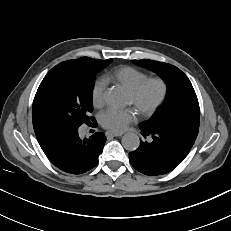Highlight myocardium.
<instances>
[{"mask_svg": "<svg viewBox=\"0 0 231 231\" xmlns=\"http://www.w3.org/2000/svg\"><path fill=\"white\" fill-rule=\"evenodd\" d=\"M151 84H158L160 86V94L156 101L148 107H138V101L144 90ZM169 92L168 82L162 77H148L139 83L135 88L129 91V95L133 100V106L138 110L141 116H151L166 100Z\"/></svg>", "mask_w": 231, "mask_h": 231, "instance_id": "f54148a6", "label": "myocardium"}]
</instances>
